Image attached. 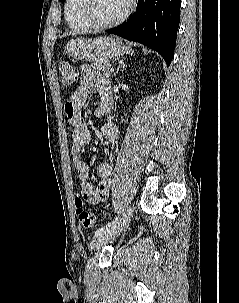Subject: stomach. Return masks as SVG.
Here are the masks:
<instances>
[{"label": "stomach", "mask_w": 239, "mask_h": 303, "mask_svg": "<svg viewBox=\"0 0 239 303\" xmlns=\"http://www.w3.org/2000/svg\"><path fill=\"white\" fill-rule=\"evenodd\" d=\"M125 51L126 47L122 41L112 37L77 38L66 45V52L71 57L83 61L107 63L122 56Z\"/></svg>", "instance_id": "obj_1"}]
</instances>
